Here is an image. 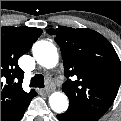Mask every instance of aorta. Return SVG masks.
<instances>
[{
    "instance_id": "762f6f07",
    "label": "aorta",
    "mask_w": 121,
    "mask_h": 121,
    "mask_svg": "<svg viewBox=\"0 0 121 121\" xmlns=\"http://www.w3.org/2000/svg\"><path fill=\"white\" fill-rule=\"evenodd\" d=\"M32 53L38 64L46 68H53L58 63V52L54 44L48 41H38L32 48ZM51 109L56 113L67 110L69 102L67 96L62 92H54L49 97Z\"/></svg>"
}]
</instances>
